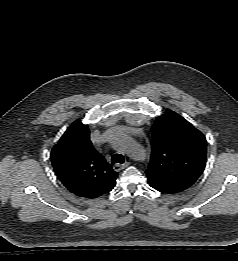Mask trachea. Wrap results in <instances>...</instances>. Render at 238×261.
I'll return each mask as SVG.
<instances>
[{
    "instance_id": "3493384b",
    "label": "trachea",
    "mask_w": 238,
    "mask_h": 261,
    "mask_svg": "<svg viewBox=\"0 0 238 261\" xmlns=\"http://www.w3.org/2000/svg\"><path fill=\"white\" fill-rule=\"evenodd\" d=\"M124 156L123 155H121V154H114L113 156H112V158H111V162L113 163V164H115V163H119V164H122V163H124Z\"/></svg>"
}]
</instances>
